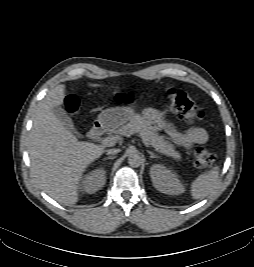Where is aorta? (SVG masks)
Returning a JSON list of instances; mask_svg holds the SVG:
<instances>
[{
	"mask_svg": "<svg viewBox=\"0 0 254 267\" xmlns=\"http://www.w3.org/2000/svg\"><path fill=\"white\" fill-rule=\"evenodd\" d=\"M141 163H142L141 155L135 149L130 150L128 156V164L131 167L137 168L141 165Z\"/></svg>",
	"mask_w": 254,
	"mask_h": 267,
	"instance_id": "1",
	"label": "aorta"
}]
</instances>
